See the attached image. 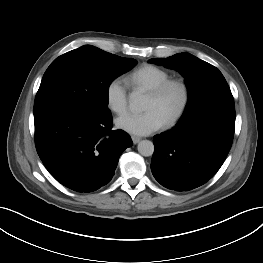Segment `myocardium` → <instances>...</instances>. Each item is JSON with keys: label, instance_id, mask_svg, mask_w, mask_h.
Wrapping results in <instances>:
<instances>
[{"label": "myocardium", "instance_id": "f54148a6", "mask_svg": "<svg viewBox=\"0 0 263 263\" xmlns=\"http://www.w3.org/2000/svg\"><path fill=\"white\" fill-rule=\"evenodd\" d=\"M172 89H177L180 92V102L174 112L164 121L165 126L175 124L185 113L190 102V88L183 79H168L148 91L152 97L161 99Z\"/></svg>", "mask_w": 263, "mask_h": 263}]
</instances>
